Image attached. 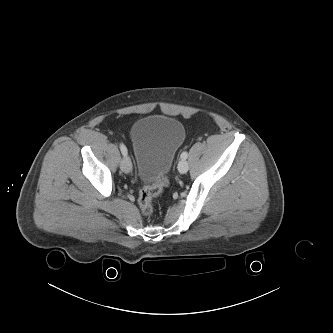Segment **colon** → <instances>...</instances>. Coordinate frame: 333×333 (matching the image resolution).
Segmentation results:
<instances>
[{
  "instance_id": "obj_1",
  "label": "colon",
  "mask_w": 333,
  "mask_h": 333,
  "mask_svg": "<svg viewBox=\"0 0 333 333\" xmlns=\"http://www.w3.org/2000/svg\"><path fill=\"white\" fill-rule=\"evenodd\" d=\"M167 185L168 178L163 176L158 181L141 189L138 204L143 215L152 214L154 210L153 200L163 192Z\"/></svg>"
}]
</instances>
